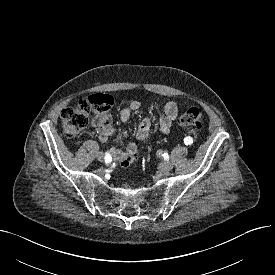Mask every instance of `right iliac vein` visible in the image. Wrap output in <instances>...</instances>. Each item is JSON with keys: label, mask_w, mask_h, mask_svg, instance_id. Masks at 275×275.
Instances as JSON below:
<instances>
[{"label": "right iliac vein", "mask_w": 275, "mask_h": 275, "mask_svg": "<svg viewBox=\"0 0 275 275\" xmlns=\"http://www.w3.org/2000/svg\"><path fill=\"white\" fill-rule=\"evenodd\" d=\"M97 159L100 161V162H103L104 161V154L102 152H99L97 154Z\"/></svg>", "instance_id": "right-iliac-vein-1"}]
</instances>
